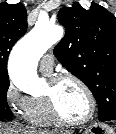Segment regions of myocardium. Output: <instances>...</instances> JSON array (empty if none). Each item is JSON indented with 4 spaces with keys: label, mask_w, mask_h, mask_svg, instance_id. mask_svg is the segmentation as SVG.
<instances>
[{
    "label": "myocardium",
    "mask_w": 116,
    "mask_h": 134,
    "mask_svg": "<svg viewBox=\"0 0 116 134\" xmlns=\"http://www.w3.org/2000/svg\"><path fill=\"white\" fill-rule=\"evenodd\" d=\"M65 81H72L79 85L83 91L86 93L88 100H89V111L88 113L80 120H70L66 117H64L60 111L57 108V105L55 103V100L52 95H45L44 100L47 104L48 110L53 117V119L63 125L71 126V127H77L87 124L90 120L93 119L96 109H97V102L95 95L93 94L92 90L89 88V86L82 81L77 76H74L72 74H61L58 76H55L51 78L50 84L53 88H56L60 83Z\"/></svg>",
    "instance_id": "f54148a6"
}]
</instances>
